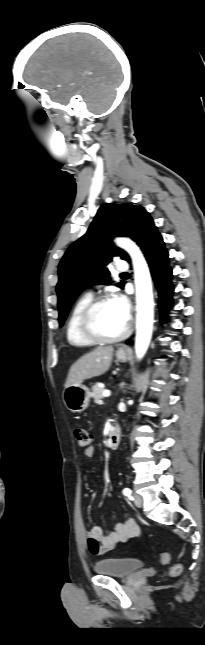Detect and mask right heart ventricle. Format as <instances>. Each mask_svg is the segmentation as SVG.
<instances>
[{"label": "right heart ventricle", "instance_id": "obj_1", "mask_svg": "<svg viewBox=\"0 0 205 645\" xmlns=\"http://www.w3.org/2000/svg\"><path fill=\"white\" fill-rule=\"evenodd\" d=\"M92 300L90 294L81 296L73 305L66 323V338L70 345L76 347L91 346L93 341L84 336L80 327V318L84 308Z\"/></svg>", "mask_w": 205, "mask_h": 645}]
</instances>
